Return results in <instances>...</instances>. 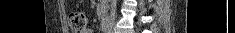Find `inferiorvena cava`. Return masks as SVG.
Here are the masks:
<instances>
[{
    "mask_svg": "<svg viewBox=\"0 0 235 33\" xmlns=\"http://www.w3.org/2000/svg\"><path fill=\"white\" fill-rule=\"evenodd\" d=\"M110 19H111L112 22H113L114 19H115V7H114V6L111 7Z\"/></svg>",
    "mask_w": 235,
    "mask_h": 33,
    "instance_id": "602c4592",
    "label": "inferior vena cava"
}]
</instances>
